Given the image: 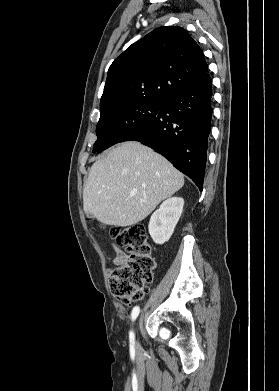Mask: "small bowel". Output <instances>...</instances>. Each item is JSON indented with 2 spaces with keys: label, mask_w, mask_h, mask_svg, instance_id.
Wrapping results in <instances>:
<instances>
[{
  "label": "small bowel",
  "mask_w": 279,
  "mask_h": 391,
  "mask_svg": "<svg viewBox=\"0 0 279 391\" xmlns=\"http://www.w3.org/2000/svg\"><path fill=\"white\" fill-rule=\"evenodd\" d=\"M113 248L115 249V251L117 253V256L114 260V263L117 264L120 261V259L122 258V256L124 255V253L119 248H117L115 245H113Z\"/></svg>",
  "instance_id": "small-bowel-1"
}]
</instances>
